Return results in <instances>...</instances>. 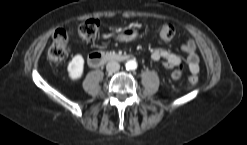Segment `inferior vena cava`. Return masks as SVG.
Here are the masks:
<instances>
[{
	"label": "inferior vena cava",
	"mask_w": 247,
	"mask_h": 145,
	"mask_svg": "<svg viewBox=\"0 0 247 145\" xmlns=\"http://www.w3.org/2000/svg\"><path fill=\"white\" fill-rule=\"evenodd\" d=\"M119 69H120V64L116 61H110L106 65V70L109 73H115V72L119 71Z\"/></svg>",
	"instance_id": "1"
}]
</instances>
